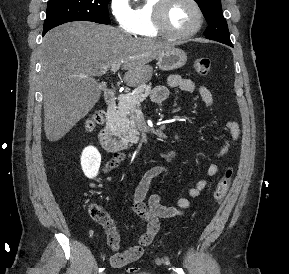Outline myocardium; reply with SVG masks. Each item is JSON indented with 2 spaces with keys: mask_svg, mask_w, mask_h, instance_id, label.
I'll return each instance as SVG.
<instances>
[{
  "mask_svg": "<svg viewBox=\"0 0 289 274\" xmlns=\"http://www.w3.org/2000/svg\"><path fill=\"white\" fill-rule=\"evenodd\" d=\"M173 1L174 0H158V3L155 5L153 12V21L155 28L160 34L172 39H186L194 36L200 31L204 22V14L200 4L198 3L197 0H188L196 10L197 23L189 31L175 32L172 29H170L167 23V12L170 4Z\"/></svg>",
  "mask_w": 289,
  "mask_h": 274,
  "instance_id": "myocardium-1",
  "label": "myocardium"
}]
</instances>
